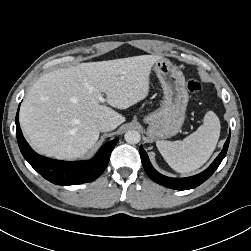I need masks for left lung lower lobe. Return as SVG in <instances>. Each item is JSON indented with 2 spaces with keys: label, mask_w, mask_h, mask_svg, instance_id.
<instances>
[{
  "label": "left lung lower lobe",
  "mask_w": 251,
  "mask_h": 251,
  "mask_svg": "<svg viewBox=\"0 0 251 251\" xmlns=\"http://www.w3.org/2000/svg\"><path fill=\"white\" fill-rule=\"evenodd\" d=\"M229 141H230V134L224 144L223 150L213 161V163L203 172L186 178H170L160 174L151 165L149 158L145 150L142 148V146H140L139 151L144 170L154 182L176 190H188L199 186L215 172V170L218 168V166L220 165L221 161L223 160V158L227 153Z\"/></svg>",
  "instance_id": "0a47b994"
}]
</instances>
